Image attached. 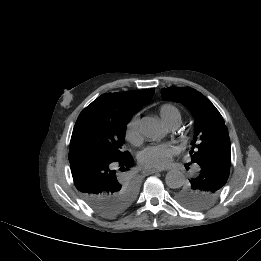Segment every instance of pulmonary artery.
<instances>
[{
    "mask_svg": "<svg viewBox=\"0 0 261 261\" xmlns=\"http://www.w3.org/2000/svg\"><path fill=\"white\" fill-rule=\"evenodd\" d=\"M180 120L179 119H173L169 122H167V126L170 128V129H176L179 125H180ZM199 168L196 166L195 167V171H198Z\"/></svg>",
    "mask_w": 261,
    "mask_h": 261,
    "instance_id": "pulmonary-artery-1",
    "label": "pulmonary artery"
}]
</instances>
